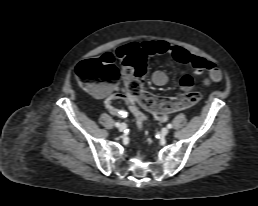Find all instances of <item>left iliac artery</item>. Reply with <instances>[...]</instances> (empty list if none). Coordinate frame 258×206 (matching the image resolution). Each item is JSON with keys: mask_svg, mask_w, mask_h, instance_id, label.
<instances>
[{"mask_svg": "<svg viewBox=\"0 0 258 206\" xmlns=\"http://www.w3.org/2000/svg\"><path fill=\"white\" fill-rule=\"evenodd\" d=\"M167 127H168L169 129H171V128H172V124H168Z\"/></svg>", "mask_w": 258, "mask_h": 206, "instance_id": "1", "label": "left iliac artery"}]
</instances>
